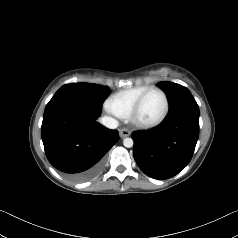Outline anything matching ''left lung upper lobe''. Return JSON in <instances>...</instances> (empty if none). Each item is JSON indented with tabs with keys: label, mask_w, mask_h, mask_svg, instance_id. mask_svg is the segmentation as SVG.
I'll use <instances>...</instances> for the list:
<instances>
[{
	"label": "left lung upper lobe",
	"mask_w": 238,
	"mask_h": 238,
	"mask_svg": "<svg viewBox=\"0 0 238 238\" xmlns=\"http://www.w3.org/2000/svg\"><path fill=\"white\" fill-rule=\"evenodd\" d=\"M159 85L167 92L171 105L175 104L186 96H192L186 87L179 84L162 81L159 83Z\"/></svg>",
	"instance_id": "left-lung-upper-lobe-1"
}]
</instances>
